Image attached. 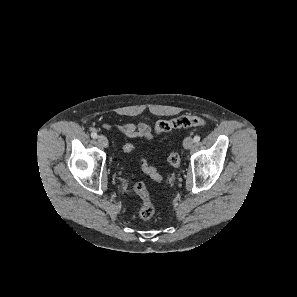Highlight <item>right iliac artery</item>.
<instances>
[{"label":"right iliac artery","mask_w":297,"mask_h":297,"mask_svg":"<svg viewBox=\"0 0 297 297\" xmlns=\"http://www.w3.org/2000/svg\"><path fill=\"white\" fill-rule=\"evenodd\" d=\"M91 137L94 138V139H96L97 138V133L96 132H92L91 133Z\"/></svg>","instance_id":"82829eb1"}]
</instances>
